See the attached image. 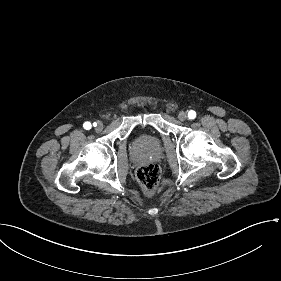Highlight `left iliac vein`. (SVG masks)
Listing matches in <instances>:
<instances>
[{"label": "left iliac vein", "instance_id": "4c4485c4", "mask_svg": "<svg viewBox=\"0 0 281 281\" xmlns=\"http://www.w3.org/2000/svg\"><path fill=\"white\" fill-rule=\"evenodd\" d=\"M178 119L180 121H185L187 119V113L184 111H180L178 114Z\"/></svg>", "mask_w": 281, "mask_h": 281}]
</instances>
